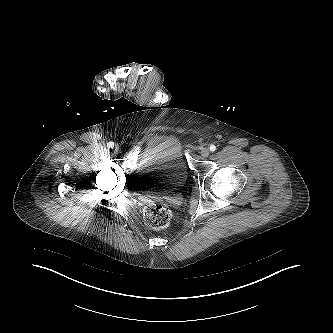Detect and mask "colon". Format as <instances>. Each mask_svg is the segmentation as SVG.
Segmentation results:
<instances>
[{
  "mask_svg": "<svg viewBox=\"0 0 333 333\" xmlns=\"http://www.w3.org/2000/svg\"><path fill=\"white\" fill-rule=\"evenodd\" d=\"M172 219L171 210L164 204H151L144 210V221L152 229L166 228Z\"/></svg>",
  "mask_w": 333,
  "mask_h": 333,
  "instance_id": "obj_1",
  "label": "colon"
}]
</instances>
